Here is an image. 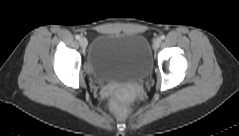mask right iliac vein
<instances>
[{"label": "right iliac vein", "instance_id": "63e3f726", "mask_svg": "<svg viewBox=\"0 0 239 136\" xmlns=\"http://www.w3.org/2000/svg\"><path fill=\"white\" fill-rule=\"evenodd\" d=\"M79 44H80L81 47L86 48L87 45H88V41H87L86 38L82 37V38H80V40H79Z\"/></svg>", "mask_w": 239, "mask_h": 136}]
</instances>
